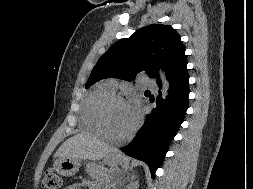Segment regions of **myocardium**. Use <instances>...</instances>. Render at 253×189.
Returning a JSON list of instances; mask_svg holds the SVG:
<instances>
[{
    "mask_svg": "<svg viewBox=\"0 0 253 189\" xmlns=\"http://www.w3.org/2000/svg\"><path fill=\"white\" fill-rule=\"evenodd\" d=\"M115 103L128 104L127 100L121 95L113 94V95L107 97L106 99H104L102 101V103L100 104L99 109H98L99 123H100V126H101L103 133L106 137H108L110 139H114V140L126 141V140H129L130 138H132V136L135 134V132L139 129V127L141 125V116L139 115L137 117L136 123L127 133H125L123 135L115 134L110 130L109 125H108V119H107L108 110Z\"/></svg>",
    "mask_w": 253,
    "mask_h": 189,
    "instance_id": "f54148a6",
    "label": "myocardium"
}]
</instances>
